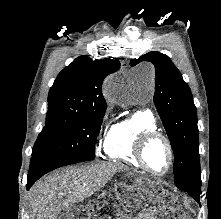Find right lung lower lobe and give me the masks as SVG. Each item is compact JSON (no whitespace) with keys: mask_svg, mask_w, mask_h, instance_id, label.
Returning <instances> with one entry per match:
<instances>
[{"mask_svg":"<svg viewBox=\"0 0 221 219\" xmlns=\"http://www.w3.org/2000/svg\"><path fill=\"white\" fill-rule=\"evenodd\" d=\"M78 162L80 161L64 158L57 154L45 151L33 154L28 173V180L26 185L27 189H29L37 179H39L47 172L65 165L75 164Z\"/></svg>","mask_w":221,"mask_h":219,"instance_id":"1","label":"right lung lower lobe"}]
</instances>
